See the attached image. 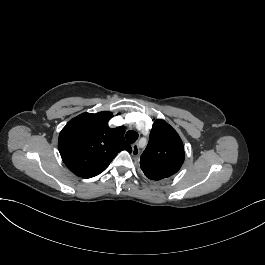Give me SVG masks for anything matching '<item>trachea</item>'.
I'll return each instance as SVG.
<instances>
[{"label":"trachea","mask_w":265,"mask_h":265,"mask_svg":"<svg viewBox=\"0 0 265 265\" xmlns=\"http://www.w3.org/2000/svg\"><path fill=\"white\" fill-rule=\"evenodd\" d=\"M138 138V133L135 132V131H128L126 133V140L129 142V143H134Z\"/></svg>","instance_id":"3493384b"}]
</instances>
